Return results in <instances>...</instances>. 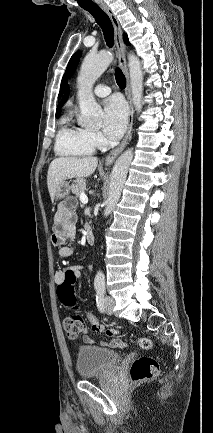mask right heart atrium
<instances>
[{
  "instance_id": "obj_1",
  "label": "right heart atrium",
  "mask_w": 213,
  "mask_h": 433,
  "mask_svg": "<svg viewBox=\"0 0 213 433\" xmlns=\"http://www.w3.org/2000/svg\"><path fill=\"white\" fill-rule=\"evenodd\" d=\"M92 139L94 140L96 145H100L103 142L102 136L97 132H91Z\"/></svg>"
}]
</instances>
